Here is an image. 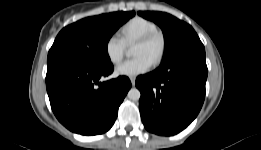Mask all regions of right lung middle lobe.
<instances>
[{
  "label": "right lung middle lobe",
  "mask_w": 261,
  "mask_h": 150,
  "mask_svg": "<svg viewBox=\"0 0 261 150\" xmlns=\"http://www.w3.org/2000/svg\"><path fill=\"white\" fill-rule=\"evenodd\" d=\"M135 15L114 12L84 18L63 28L48 53L47 66L72 63L88 67L110 64L107 44L113 33Z\"/></svg>",
  "instance_id": "dd1d6c3e"
}]
</instances>
